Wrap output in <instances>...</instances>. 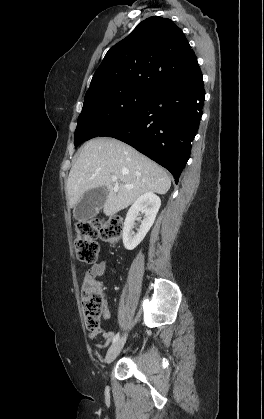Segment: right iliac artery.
<instances>
[{
    "label": "right iliac artery",
    "mask_w": 264,
    "mask_h": 419,
    "mask_svg": "<svg viewBox=\"0 0 264 419\" xmlns=\"http://www.w3.org/2000/svg\"><path fill=\"white\" fill-rule=\"evenodd\" d=\"M119 336H120V334H119V333H117V334L113 337V340H112V343H113V344H114L116 341H118Z\"/></svg>",
    "instance_id": "1"
}]
</instances>
